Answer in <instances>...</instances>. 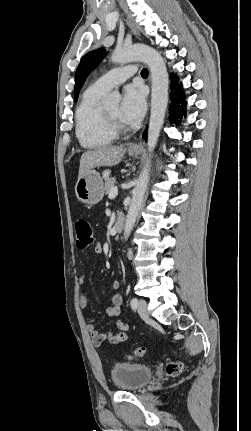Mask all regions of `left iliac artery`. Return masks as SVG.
<instances>
[{"mask_svg": "<svg viewBox=\"0 0 251 431\" xmlns=\"http://www.w3.org/2000/svg\"><path fill=\"white\" fill-rule=\"evenodd\" d=\"M130 305L132 309H136L138 307V300L137 298H132L130 301Z\"/></svg>", "mask_w": 251, "mask_h": 431, "instance_id": "1", "label": "left iliac artery"}]
</instances>
